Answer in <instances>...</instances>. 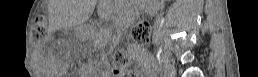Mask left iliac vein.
Returning <instances> with one entry per match:
<instances>
[{
	"mask_svg": "<svg viewBox=\"0 0 258 77\" xmlns=\"http://www.w3.org/2000/svg\"><path fill=\"white\" fill-rule=\"evenodd\" d=\"M164 73L168 77H173L176 75V68L173 64L166 62L164 65Z\"/></svg>",
	"mask_w": 258,
	"mask_h": 77,
	"instance_id": "obj_1",
	"label": "left iliac vein"
}]
</instances>
